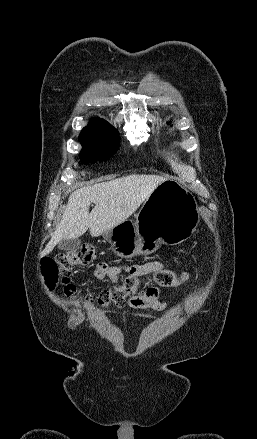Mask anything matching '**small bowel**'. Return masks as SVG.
<instances>
[{
	"instance_id": "1",
	"label": "small bowel",
	"mask_w": 257,
	"mask_h": 439,
	"mask_svg": "<svg viewBox=\"0 0 257 439\" xmlns=\"http://www.w3.org/2000/svg\"><path fill=\"white\" fill-rule=\"evenodd\" d=\"M166 265L160 261H150L144 264H120L108 266L100 263L96 266L95 276L98 280L108 279L111 283L116 284L122 273H127L135 278L153 274L156 271L165 270ZM130 309L138 311H160L165 308V303L159 299V290L156 287H149L139 295L127 300ZM128 312H124L127 315Z\"/></svg>"
}]
</instances>
